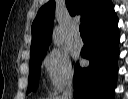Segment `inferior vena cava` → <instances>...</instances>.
Masks as SVG:
<instances>
[{
	"mask_svg": "<svg viewBox=\"0 0 128 99\" xmlns=\"http://www.w3.org/2000/svg\"><path fill=\"white\" fill-rule=\"evenodd\" d=\"M73 98V84L69 81L65 90L63 91L62 99H72Z\"/></svg>",
	"mask_w": 128,
	"mask_h": 99,
	"instance_id": "1",
	"label": "inferior vena cava"
}]
</instances>
